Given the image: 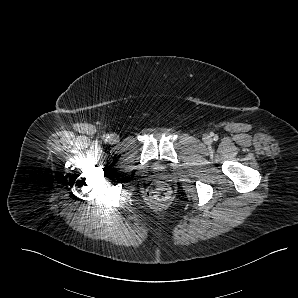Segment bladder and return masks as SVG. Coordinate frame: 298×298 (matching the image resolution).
<instances>
[{
  "mask_svg": "<svg viewBox=\"0 0 298 298\" xmlns=\"http://www.w3.org/2000/svg\"><path fill=\"white\" fill-rule=\"evenodd\" d=\"M155 170L158 171V172H161V171H163L164 169H163L162 167H160V166H157V167L155 168Z\"/></svg>",
  "mask_w": 298,
  "mask_h": 298,
  "instance_id": "bladder-1",
  "label": "bladder"
}]
</instances>
